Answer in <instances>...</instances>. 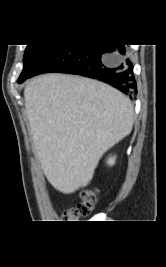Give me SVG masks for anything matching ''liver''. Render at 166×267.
<instances>
[{
  "mask_svg": "<svg viewBox=\"0 0 166 267\" xmlns=\"http://www.w3.org/2000/svg\"><path fill=\"white\" fill-rule=\"evenodd\" d=\"M24 99L43 172L64 194L87 186L102 155L133 128L129 99L92 79L41 75L26 85Z\"/></svg>",
  "mask_w": 166,
  "mask_h": 267,
  "instance_id": "liver-1",
  "label": "liver"
}]
</instances>
